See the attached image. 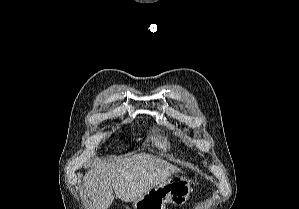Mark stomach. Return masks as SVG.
<instances>
[{"instance_id": "obj_1", "label": "stomach", "mask_w": 299, "mask_h": 209, "mask_svg": "<svg viewBox=\"0 0 299 209\" xmlns=\"http://www.w3.org/2000/svg\"><path fill=\"white\" fill-rule=\"evenodd\" d=\"M191 192L192 182L175 175L135 200L133 209H165L168 202L183 205Z\"/></svg>"}]
</instances>
